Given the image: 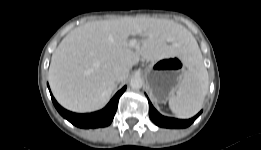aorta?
Instances as JSON below:
<instances>
[{
    "mask_svg": "<svg viewBox=\"0 0 261 150\" xmlns=\"http://www.w3.org/2000/svg\"><path fill=\"white\" fill-rule=\"evenodd\" d=\"M143 85V79L140 76H134L130 80V87L133 89H140Z\"/></svg>",
    "mask_w": 261,
    "mask_h": 150,
    "instance_id": "762f6f07",
    "label": "aorta"
}]
</instances>
